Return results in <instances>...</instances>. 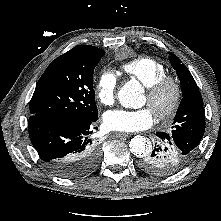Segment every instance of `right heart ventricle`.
<instances>
[{
  "mask_svg": "<svg viewBox=\"0 0 221 221\" xmlns=\"http://www.w3.org/2000/svg\"><path fill=\"white\" fill-rule=\"evenodd\" d=\"M122 71L137 79L145 87L167 75V69L160 61L152 57H138L122 66Z\"/></svg>",
  "mask_w": 221,
  "mask_h": 221,
  "instance_id": "1",
  "label": "right heart ventricle"
}]
</instances>
